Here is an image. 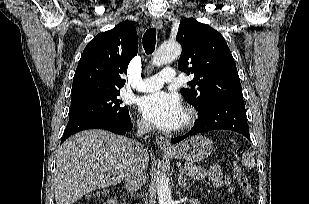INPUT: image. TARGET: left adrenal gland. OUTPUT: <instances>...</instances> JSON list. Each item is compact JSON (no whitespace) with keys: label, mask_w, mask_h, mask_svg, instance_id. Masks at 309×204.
<instances>
[{"label":"left adrenal gland","mask_w":309,"mask_h":204,"mask_svg":"<svg viewBox=\"0 0 309 204\" xmlns=\"http://www.w3.org/2000/svg\"><path fill=\"white\" fill-rule=\"evenodd\" d=\"M178 184L181 188L184 189H186L187 185L190 186L188 179L186 177H183L181 173H178Z\"/></svg>","instance_id":"left-adrenal-gland-1"}]
</instances>
